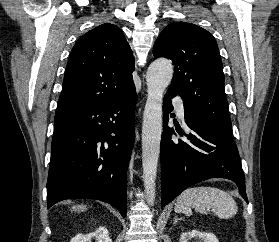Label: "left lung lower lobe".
I'll use <instances>...</instances> for the list:
<instances>
[{
    "label": "left lung lower lobe",
    "mask_w": 279,
    "mask_h": 242,
    "mask_svg": "<svg viewBox=\"0 0 279 242\" xmlns=\"http://www.w3.org/2000/svg\"><path fill=\"white\" fill-rule=\"evenodd\" d=\"M173 96L174 94L168 91L163 101L162 207L189 186L209 178H226L234 181L238 185L240 195L248 203L241 159L232 135L185 115L189 132L176 129L184 139L172 138L174 130L168 127V114L173 110L170 100Z\"/></svg>",
    "instance_id": "left-lung-lower-lobe-1"
}]
</instances>
